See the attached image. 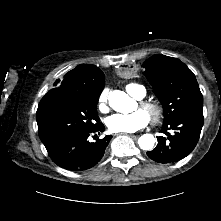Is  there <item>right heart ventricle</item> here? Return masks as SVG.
Listing matches in <instances>:
<instances>
[{
    "instance_id": "1",
    "label": "right heart ventricle",
    "mask_w": 221,
    "mask_h": 221,
    "mask_svg": "<svg viewBox=\"0 0 221 221\" xmlns=\"http://www.w3.org/2000/svg\"><path fill=\"white\" fill-rule=\"evenodd\" d=\"M137 86H138L137 84L130 83L126 86V89L133 97H135L137 99H141L145 96L146 91L144 89V92L142 94H139L137 89H136Z\"/></svg>"
}]
</instances>
